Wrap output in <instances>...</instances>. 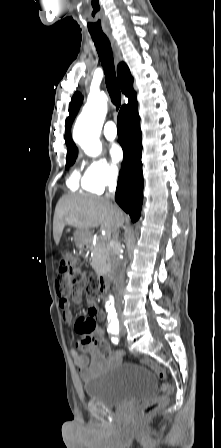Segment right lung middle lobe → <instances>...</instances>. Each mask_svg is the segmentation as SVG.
I'll list each match as a JSON object with an SVG mask.
<instances>
[{"label": "right lung middle lobe", "instance_id": "obj_1", "mask_svg": "<svg viewBox=\"0 0 221 448\" xmlns=\"http://www.w3.org/2000/svg\"><path fill=\"white\" fill-rule=\"evenodd\" d=\"M77 154L78 153L67 155V158H66V168H68L70 165L74 164V162H75V160L77 158Z\"/></svg>", "mask_w": 221, "mask_h": 448}]
</instances>
